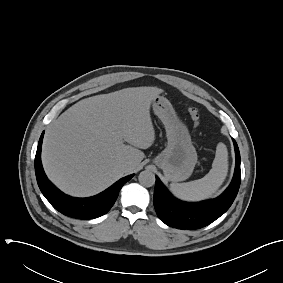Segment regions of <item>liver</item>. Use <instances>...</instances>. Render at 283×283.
<instances>
[{
    "instance_id": "obj_1",
    "label": "liver",
    "mask_w": 283,
    "mask_h": 283,
    "mask_svg": "<svg viewBox=\"0 0 283 283\" xmlns=\"http://www.w3.org/2000/svg\"><path fill=\"white\" fill-rule=\"evenodd\" d=\"M161 93L157 87L125 88L68 108L44 136L42 163L48 178L69 195L88 197L134 171L145 157L139 149L154 143L150 107ZM125 162L130 165L123 170Z\"/></svg>"
}]
</instances>
